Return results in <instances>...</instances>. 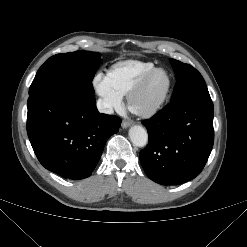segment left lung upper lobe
<instances>
[{"label":"left lung upper lobe","instance_id":"5c2ea615","mask_svg":"<svg viewBox=\"0 0 247 247\" xmlns=\"http://www.w3.org/2000/svg\"><path fill=\"white\" fill-rule=\"evenodd\" d=\"M176 75V85L171 102L187 97L209 94L202 75L192 66L170 59Z\"/></svg>","mask_w":247,"mask_h":247}]
</instances>
